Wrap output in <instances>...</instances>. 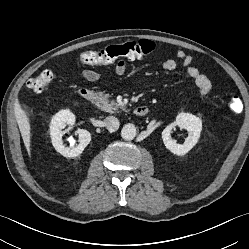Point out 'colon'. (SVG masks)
<instances>
[{
	"mask_svg": "<svg viewBox=\"0 0 249 249\" xmlns=\"http://www.w3.org/2000/svg\"><path fill=\"white\" fill-rule=\"evenodd\" d=\"M154 48V42L141 39L139 41L111 45L100 51H84L79 58L81 62L86 64L102 65L112 63L121 58L129 60L138 59L150 54ZM54 77V71L44 70L28 81V87L37 93L44 92L49 88ZM227 106L232 114H238L243 109V104L236 95L229 98Z\"/></svg>",
	"mask_w": 249,
	"mask_h": 249,
	"instance_id": "obj_1",
	"label": "colon"
}]
</instances>
